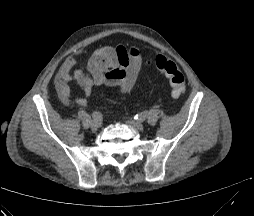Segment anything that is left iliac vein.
Wrapping results in <instances>:
<instances>
[{
  "instance_id": "4c4485c4",
  "label": "left iliac vein",
  "mask_w": 254,
  "mask_h": 216,
  "mask_svg": "<svg viewBox=\"0 0 254 216\" xmlns=\"http://www.w3.org/2000/svg\"><path fill=\"white\" fill-rule=\"evenodd\" d=\"M128 124H130L133 128L137 130H142L144 128V125L138 121L128 120Z\"/></svg>"
}]
</instances>
